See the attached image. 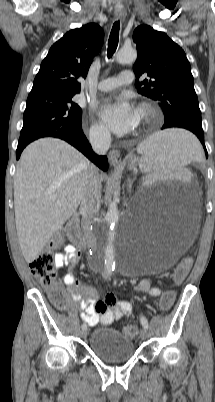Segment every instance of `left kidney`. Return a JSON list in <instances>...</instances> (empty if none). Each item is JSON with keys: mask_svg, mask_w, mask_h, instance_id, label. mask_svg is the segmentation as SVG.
Instances as JSON below:
<instances>
[{"mask_svg": "<svg viewBox=\"0 0 215 402\" xmlns=\"http://www.w3.org/2000/svg\"><path fill=\"white\" fill-rule=\"evenodd\" d=\"M146 177L148 178H157L158 180H162L163 178H167V175L171 178H192L194 172L192 169H171L169 172L165 169L156 170V169H148L145 172ZM150 183V182H149Z\"/></svg>", "mask_w": 215, "mask_h": 402, "instance_id": "obj_1", "label": "left kidney"}]
</instances>
